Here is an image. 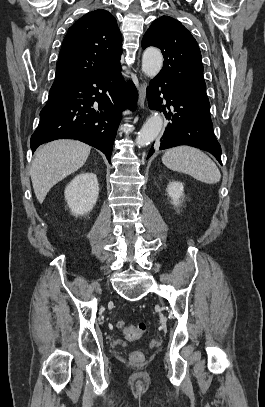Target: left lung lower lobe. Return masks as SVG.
<instances>
[{
	"label": "left lung lower lobe",
	"mask_w": 265,
	"mask_h": 407,
	"mask_svg": "<svg viewBox=\"0 0 265 407\" xmlns=\"http://www.w3.org/2000/svg\"><path fill=\"white\" fill-rule=\"evenodd\" d=\"M164 97L167 108L173 106V112L160 143L155 148L162 150L178 145H190L210 152L221 163V147L214 132L210 118V108L198 104L185 95L179 88L167 78L158 74L150 82L147 88V98L151 109H164L162 105ZM155 148L152 146L147 159L152 155Z\"/></svg>",
	"instance_id": "left-lung-lower-lobe-1"
}]
</instances>
